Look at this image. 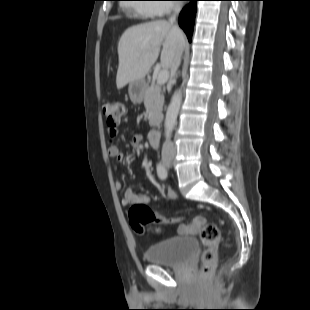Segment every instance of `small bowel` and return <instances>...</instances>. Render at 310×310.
<instances>
[{
	"instance_id": "obj_1",
	"label": "small bowel",
	"mask_w": 310,
	"mask_h": 310,
	"mask_svg": "<svg viewBox=\"0 0 310 310\" xmlns=\"http://www.w3.org/2000/svg\"><path fill=\"white\" fill-rule=\"evenodd\" d=\"M108 133L111 138H115L120 134V130L118 127H108ZM142 141V136L139 133H133L130 138L131 146L137 155L142 149ZM108 153L112 158H115L119 162H122L125 159L124 153L114 143L109 146ZM115 186L117 189H120L122 187V183L120 181H116ZM165 198L168 200H174L177 198V194L172 188L168 187L165 189ZM149 201L150 197L148 195L138 193L134 189L128 188L126 189L121 202L123 206H130L139 202L148 203ZM200 219L202 218L196 217L192 224L180 226L178 228V233L184 236L192 234L195 228L198 227V221ZM154 231L159 232L160 229L154 228Z\"/></svg>"
}]
</instances>
